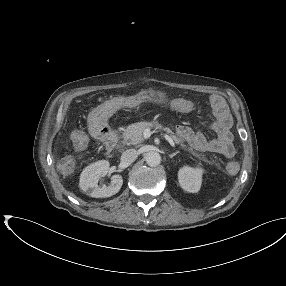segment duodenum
I'll return each instance as SVG.
<instances>
[{
  "label": "duodenum",
  "instance_id": "410a0bca",
  "mask_svg": "<svg viewBox=\"0 0 286 286\" xmlns=\"http://www.w3.org/2000/svg\"><path fill=\"white\" fill-rule=\"evenodd\" d=\"M98 132L100 134V136H103V135H109L107 132H106V129H107V125L106 123L103 121V120H100L98 123ZM117 142L118 140L115 138V137H110L108 139V142H107V145H108V148L113 151L115 150L116 146H117Z\"/></svg>",
  "mask_w": 286,
  "mask_h": 286
}]
</instances>
